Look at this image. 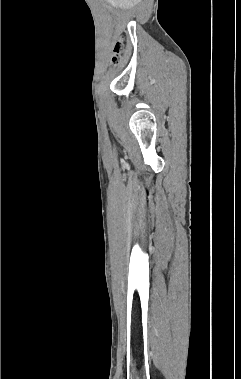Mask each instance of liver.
I'll use <instances>...</instances> for the list:
<instances>
[{"instance_id":"6515ba94","label":"liver","mask_w":241,"mask_h":379,"mask_svg":"<svg viewBox=\"0 0 241 379\" xmlns=\"http://www.w3.org/2000/svg\"><path fill=\"white\" fill-rule=\"evenodd\" d=\"M109 2L120 7H131L135 4L136 0H109Z\"/></svg>"}]
</instances>
